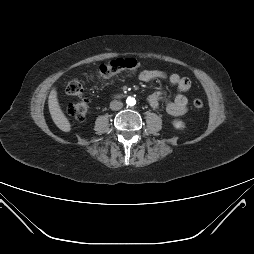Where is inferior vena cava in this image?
Returning <instances> with one entry per match:
<instances>
[{
  "mask_svg": "<svg viewBox=\"0 0 254 254\" xmlns=\"http://www.w3.org/2000/svg\"><path fill=\"white\" fill-rule=\"evenodd\" d=\"M123 107V103L118 100H114L110 103L111 110H120Z\"/></svg>",
  "mask_w": 254,
  "mask_h": 254,
  "instance_id": "1",
  "label": "inferior vena cava"
}]
</instances>
